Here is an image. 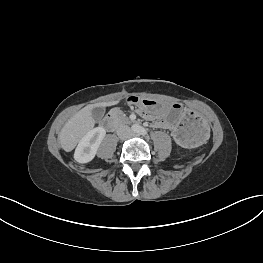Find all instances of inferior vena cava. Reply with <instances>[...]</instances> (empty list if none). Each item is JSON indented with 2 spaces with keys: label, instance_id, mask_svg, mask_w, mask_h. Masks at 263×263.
<instances>
[{
  "label": "inferior vena cava",
  "instance_id": "inferior-vena-cava-1",
  "mask_svg": "<svg viewBox=\"0 0 263 263\" xmlns=\"http://www.w3.org/2000/svg\"><path fill=\"white\" fill-rule=\"evenodd\" d=\"M117 135L120 138H128L132 135V130L129 126L127 125H121L118 129H117Z\"/></svg>",
  "mask_w": 263,
  "mask_h": 263
}]
</instances>
